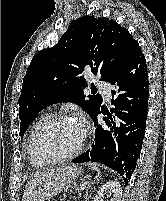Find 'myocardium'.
<instances>
[{
    "label": "myocardium",
    "mask_w": 166,
    "mask_h": 201,
    "mask_svg": "<svg viewBox=\"0 0 166 201\" xmlns=\"http://www.w3.org/2000/svg\"><path fill=\"white\" fill-rule=\"evenodd\" d=\"M69 120V117L66 115H53V116H49L46 119H44L41 123H39V125L36 127L32 138H31V143H30V150H29V155H30V159L33 165L37 166V167H42V166H48L51 164H55L58 162H63L66 160H70L74 157H76L77 155H79L85 145V141H86V135L85 133H83V138L82 141L80 142V144L78 145V147L73 150L70 153L64 154V155H60V156H54L51 157L50 159H48L45 162H40L36 153V145H37V141L38 138L41 134V132L48 126L56 123V122H61V121H66Z\"/></svg>",
    "instance_id": "myocardium-1"
}]
</instances>
